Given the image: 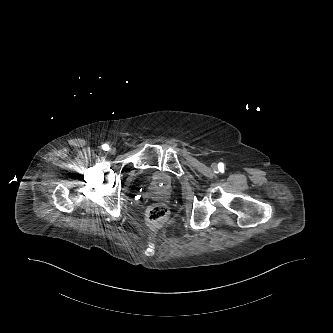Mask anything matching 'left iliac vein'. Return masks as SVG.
Listing matches in <instances>:
<instances>
[{
  "label": "left iliac vein",
  "mask_w": 333,
  "mask_h": 333,
  "mask_svg": "<svg viewBox=\"0 0 333 333\" xmlns=\"http://www.w3.org/2000/svg\"><path fill=\"white\" fill-rule=\"evenodd\" d=\"M211 167H212V169H216L217 168V164L216 163H212Z\"/></svg>",
  "instance_id": "1"
}]
</instances>
